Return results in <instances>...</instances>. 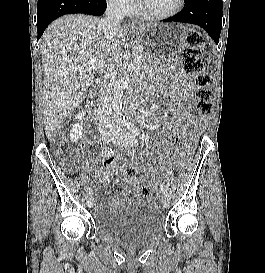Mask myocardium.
<instances>
[{"label": "myocardium", "instance_id": "f54148a6", "mask_svg": "<svg viewBox=\"0 0 265 273\" xmlns=\"http://www.w3.org/2000/svg\"><path fill=\"white\" fill-rule=\"evenodd\" d=\"M184 3L185 0H178V3L173 10L166 13H153L145 8L143 0H139V14L146 19L165 20L177 15L183 9Z\"/></svg>", "mask_w": 265, "mask_h": 273}]
</instances>
